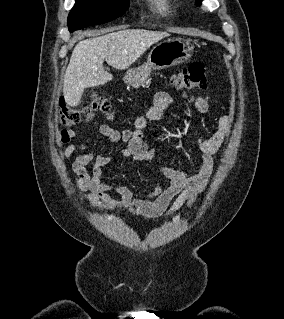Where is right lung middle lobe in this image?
<instances>
[{"label":"right lung middle lobe","mask_w":284,"mask_h":319,"mask_svg":"<svg viewBox=\"0 0 284 319\" xmlns=\"http://www.w3.org/2000/svg\"><path fill=\"white\" fill-rule=\"evenodd\" d=\"M128 7L129 0H76L68 16L69 31L116 19Z\"/></svg>","instance_id":"dd1d6c3e"}]
</instances>
